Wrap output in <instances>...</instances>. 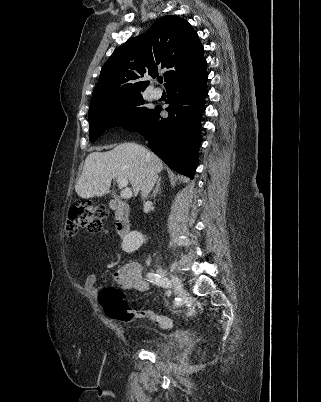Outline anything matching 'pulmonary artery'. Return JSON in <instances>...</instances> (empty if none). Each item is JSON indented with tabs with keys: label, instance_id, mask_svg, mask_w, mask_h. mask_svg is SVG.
Masks as SVG:
<instances>
[{
	"label": "pulmonary artery",
	"instance_id": "1",
	"mask_svg": "<svg viewBox=\"0 0 321 402\" xmlns=\"http://www.w3.org/2000/svg\"><path fill=\"white\" fill-rule=\"evenodd\" d=\"M151 96H152V98H154V99H159V98L161 97V92H160L158 89H154V90L151 92Z\"/></svg>",
	"mask_w": 321,
	"mask_h": 402
}]
</instances>
